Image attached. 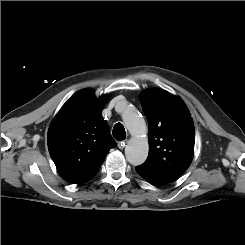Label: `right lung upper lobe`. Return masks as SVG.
<instances>
[{
  "instance_id": "obj_1",
  "label": "right lung upper lobe",
  "mask_w": 245,
  "mask_h": 245,
  "mask_svg": "<svg viewBox=\"0 0 245 245\" xmlns=\"http://www.w3.org/2000/svg\"><path fill=\"white\" fill-rule=\"evenodd\" d=\"M108 96L99 98L90 89L75 93L60 109L48 130V149L60 176L82 184L99 171L116 143L101 111Z\"/></svg>"
}]
</instances>
